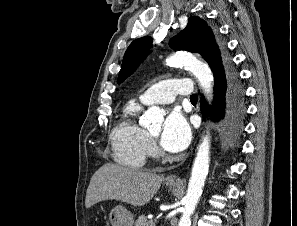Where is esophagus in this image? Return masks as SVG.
Here are the masks:
<instances>
[{"instance_id": "esophagus-1", "label": "esophagus", "mask_w": 297, "mask_h": 226, "mask_svg": "<svg viewBox=\"0 0 297 226\" xmlns=\"http://www.w3.org/2000/svg\"><path fill=\"white\" fill-rule=\"evenodd\" d=\"M166 181L168 182H176L178 181V177L176 174H171L169 176H167Z\"/></svg>"}]
</instances>
